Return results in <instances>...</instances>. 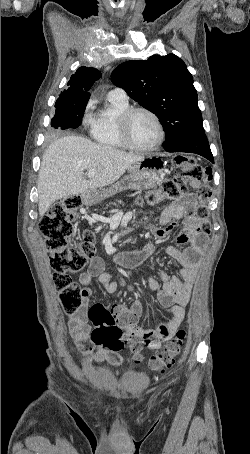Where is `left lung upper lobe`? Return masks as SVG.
<instances>
[{
  "label": "left lung upper lobe",
  "instance_id": "1",
  "mask_svg": "<svg viewBox=\"0 0 250 454\" xmlns=\"http://www.w3.org/2000/svg\"><path fill=\"white\" fill-rule=\"evenodd\" d=\"M111 78L114 85L160 119L166 134L164 149L204 133L193 77L176 55L124 62Z\"/></svg>",
  "mask_w": 250,
  "mask_h": 454
}]
</instances>
